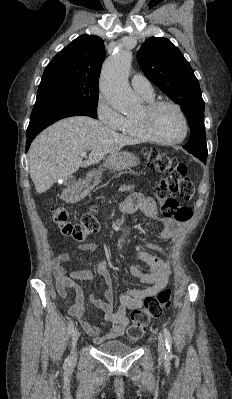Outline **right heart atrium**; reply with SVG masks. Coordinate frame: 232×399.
<instances>
[{"mask_svg":"<svg viewBox=\"0 0 232 399\" xmlns=\"http://www.w3.org/2000/svg\"><path fill=\"white\" fill-rule=\"evenodd\" d=\"M110 104H121V103H110ZM96 115L98 120H102V125H110V129H116L122 123L124 116L113 110L109 103L105 102V96H103L100 103L96 106Z\"/></svg>","mask_w":232,"mask_h":399,"instance_id":"right-heart-atrium-1","label":"right heart atrium"}]
</instances>
